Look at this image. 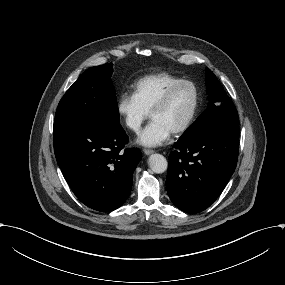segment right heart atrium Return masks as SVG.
<instances>
[{
  "mask_svg": "<svg viewBox=\"0 0 285 285\" xmlns=\"http://www.w3.org/2000/svg\"><path fill=\"white\" fill-rule=\"evenodd\" d=\"M118 112L126 125L134 131H138L149 117V111L138 100L134 90H128L121 95L118 102Z\"/></svg>",
  "mask_w": 285,
  "mask_h": 285,
  "instance_id": "d8ad5b80",
  "label": "right heart atrium"
}]
</instances>
